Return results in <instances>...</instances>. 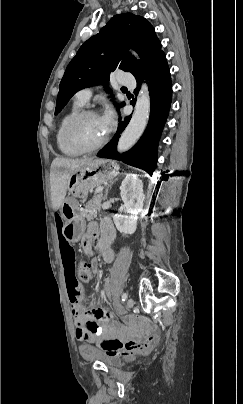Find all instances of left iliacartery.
Returning <instances> with one entry per match:
<instances>
[{"mask_svg": "<svg viewBox=\"0 0 243 404\" xmlns=\"http://www.w3.org/2000/svg\"><path fill=\"white\" fill-rule=\"evenodd\" d=\"M127 297H128V294L126 292L123 293L122 298H121L122 302H124L127 299Z\"/></svg>", "mask_w": 243, "mask_h": 404, "instance_id": "1", "label": "left iliac artery"}]
</instances>
